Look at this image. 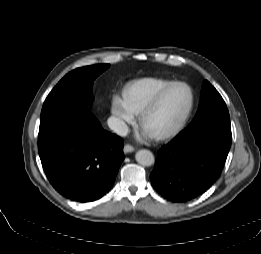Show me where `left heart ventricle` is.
Here are the masks:
<instances>
[{
    "mask_svg": "<svg viewBox=\"0 0 261 254\" xmlns=\"http://www.w3.org/2000/svg\"><path fill=\"white\" fill-rule=\"evenodd\" d=\"M189 102L190 94L186 87H172L157 108L147 116L143 129L152 135L174 127L187 111Z\"/></svg>",
    "mask_w": 261,
    "mask_h": 254,
    "instance_id": "obj_1",
    "label": "left heart ventricle"
}]
</instances>
